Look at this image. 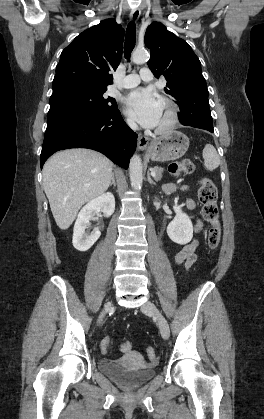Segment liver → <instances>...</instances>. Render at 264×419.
I'll list each match as a JSON object with an SVG mask.
<instances>
[{
    "instance_id": "6515ba94",
    "label": "liver",
    "mask_w": 264,
    "mask_h": 419,
    "mask_svg": "<svg viewBox=\"0 0 264 419\" xmlns=\"http://www.w3.org/2000/svg\"><path fill=\"white\" fill-rule=\"evenodd\" d=\"M112 163L90 149H68L51 156L43 167V187L57 226L66 230L79 209L104 193L112 180Z\"/></svg>"
}]
</instances>
